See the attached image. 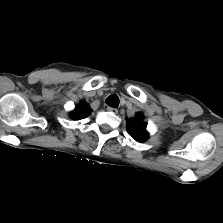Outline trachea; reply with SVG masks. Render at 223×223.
Masks as SVG:
<instances>
[{
	"mask_svg": "<svg viewBox=\"0 0 223 223\" xmlns=\"http://www.w3.org/2000/svg\"><path fill=\"white\" fill-rule=\"evenodd\" d=\"M106 103L112 108H117L119 106V98L117 95L112 94L106 98Z\"/></svg>",
	"mask_w": 223,
	"mask_h": 223,
	"instance_id": "obj_1",
	"label": "trachea"
}]
</instances>
